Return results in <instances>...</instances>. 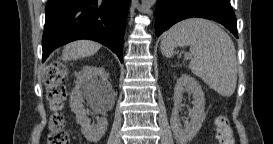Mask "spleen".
Segmentation results:
<instances>
[{"label": "spleen", "instance_id": "obj_1", "mask_svg": "<svg viewBox=\"0 0 273 144\" xmlns=\"http://www.w3.org/2000/svg\"><path fill=\"white\" fill-rule=\"evenodd\" d=\"M176 46H190L193 59L189 67L211 89L230 97L237 83V61L230 36L212 21L191 18L166 31L161 51L171 57Z\"/></svg>", "mask_w": 273, "mask_h": 144}]
</instances>
